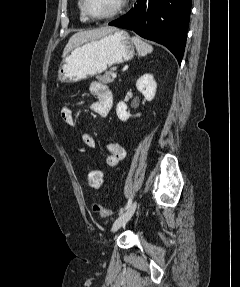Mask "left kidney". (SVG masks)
Here are the masks:
<instances>
[{
	"label": "left kidney",
	"mask_w": 240,
	"mask_h": 287,
	"mask_svg": "<svg viewBox=\"0 0 240 287\" xmlns=\"http://www.w3.org/2000/svg\"><path fill=\"white\" fill-rule=\"evenodd\" d=\"M137 89L143 94L147 101H152L156 94L157 84L152 74L142 75L136 82ZM116 113L121 121H127L130 118V113L127 112V105L124 102L117 104ZM138 113L136 116L139 117Z\"/></svg>",
	"instance_id": "obj_1"
}]
</instances>
